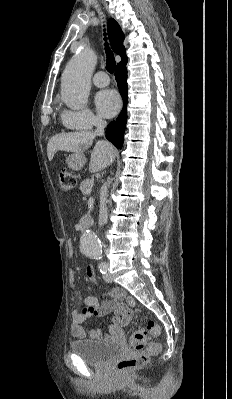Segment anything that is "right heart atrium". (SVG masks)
I'll return each mask as SVG.
<instances>
[{"label":"right heart atrium","instance_id":"right-heart-atrium-1","mask_svg":"<svg viewBox=\"0 0 232 399\" xmlns=\"http://www.w3.org/2000/svg\"><path fill=\"white\" fill-rule=\"evenodd\" d=\"M61 119L66 127L76 128L80 130H90L93 127V122H100V119L89 109H83L81 111H72L69 109H65L61 112Z\"/></svg>","mask_w":232,"mask_h":399}]
</instances>
